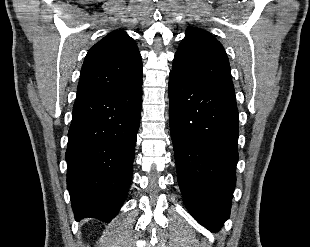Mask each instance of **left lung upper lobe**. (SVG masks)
<instances>
[{
	"label": "left lung upper lobe",
	"mask_w": 310,
	"mask_h": 247,
	"mask_svg": "<svg viewBox=\"0 0 310 247\" xmlns=\"http://www.w3.org/2000/svg\"><path fill=\"white\" fill-rule=\"evenodd\" d=\"M172 71L234 92L227 54L221 43L205 30L187 29L175 53Z\"/></svg>",
	"instance_id": "obj_1"
}]
</instances>
